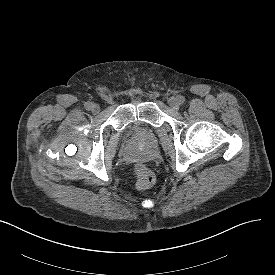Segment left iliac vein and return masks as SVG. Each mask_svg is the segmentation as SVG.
Returning a JSON list of instances; mask_svg holds the SVG:
<instances>
[{
	"mask_svg": "<svg viewBox=\"0 0 275 275\" xmlns=\"http://www.w3.org/2000/svg\"><path fill=\"white\" fill-rule=\"evenodd\" d=\"M168 103L169 105L171 106L172 109L174 110H178L179 109V101L177 98L175 97H171L169 100H168Z\"/></svg>",
	"mask_w": 275,
	"mask_h": 275,
	"instance_id": "4c4485c4",
	"label": "left iliac vein"
}]
</instances>
